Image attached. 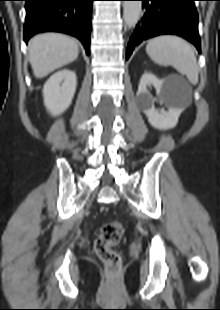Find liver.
I'll list each match as a JSON object with an SVG mask.
<instances>
[{
  "mask_svg": "<svg viewBox=\"0 0 220 310\" xmlns=\"http://www.w3.org/2000/svg\"><path fill=\"white\" fill-rule=\"evenodd\" d=\"M74 39L59 33H44L29 41V61L36 78H43L77 59Z\"/></svg>",
  "mask_w": 220,
  "mask_h": 310,
  "instance_id": "liver-1",
  "label": "liver"
}]
</instances>
